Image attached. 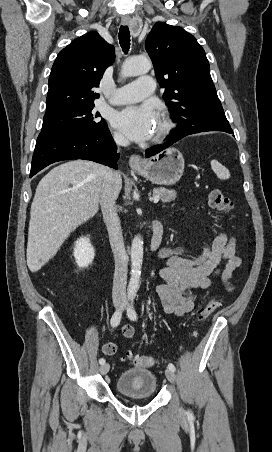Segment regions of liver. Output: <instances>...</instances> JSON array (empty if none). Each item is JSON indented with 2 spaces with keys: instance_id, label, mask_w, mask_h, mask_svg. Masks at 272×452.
Here are the masks:
<instances>
[{
  "instance_id": "liver-1",
  "label": "liver",
  "mask_w": 272,
  "mask_h": 452,
  "mask_svg": "<svg viewBox=\"0 0 272 452\" xmlns=\"http://www.w3.org/2000/svg\"><path fill=\"white\" fill-rule=\"evenodd\" d=\"M108 170L93 161L74 160L56 166L41 179L30 211L27 265L31 272L40 270L70 233L98 212ZM116 186L120 192L121 176Z\"/></svg>"
}]
</instances>
